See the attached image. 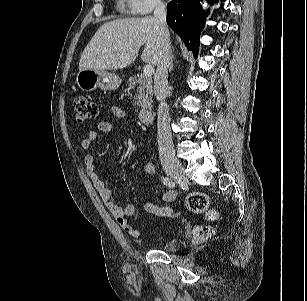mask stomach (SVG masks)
<instances>
[{
	"label": "stomach",
	"instance_id": "0dacf381",
	"mask_svg": "<svg viewBox=\"0 0 307 301\" xmlns=\"http://www.w3.org/2000/svg\"><path fill=\"white\" fill-rule=\"evenodd\" d=\"M122 79L115 73L104 69H85L79 70L76 75V84L82 90L91 92L97 88L102 90L117 89Z\"/></svg>",
	"mask_w": 307,
	"mask_h": 301
}]
</instances>
